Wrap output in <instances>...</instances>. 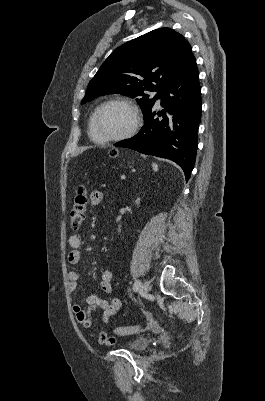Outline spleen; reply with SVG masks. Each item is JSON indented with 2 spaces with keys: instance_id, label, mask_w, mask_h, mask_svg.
<instances>
[{
  "instance_id": "spleen-1",
  "label": "spleen",
  "mask_w": 265,
  "mask_h": 401,
  "mask_svg": "<svg viewBox=\"0 0 265 401\" xmlns=\"http://www.w3.org/2000/svg\"><path fill=\"white\" fill-rule=\"evenodd\" d=\"M153 170H158V164L156 162H152Z\"/></svg>"
}]
</instances>
